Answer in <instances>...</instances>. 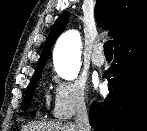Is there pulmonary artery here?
<instances>
[{"instance_id":"e3ab8cb5","label":"pulmonary artery","mask_w":147,"mask_h":131,"mask_svg":"<svg viewBox=\"0 0 147 131\" xmlns=\"http://www.w3.org/2000/svg\"><path fill=\"white\" fill-rule=\"evenodd\" d=\"M92 62L96 66H102L105 63V57L103 55V44L99 43L95 46L92 53Z\"/></svg>"}]
</instances>
